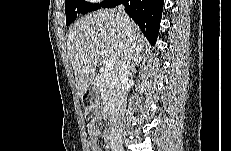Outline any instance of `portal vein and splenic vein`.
Instances as JSON below:
<instances>
[{"label": "portal vein and splenic vein", "instance_id": "1", "mask_svg": "<svg viewBox=\"0 0 231 151\" xmlns=\"http://www.w3.org/2000/svg\"><path fill=\"white\" fill-rule=\"evenodd\" d=\"M101 55H102L103 57H106V56H107V51H106V50H102V51H101ZM104 67H105V70H108V71L112 70V69L114 68V63H113V61L110 60V59H106V60L104 61Z\"/></svg>", "mask_w": 231, "mask_h": 151}]
</instances>
